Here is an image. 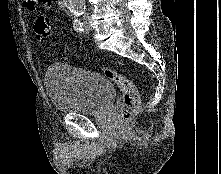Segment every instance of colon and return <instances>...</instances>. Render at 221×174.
<instances>
[{
	"label": "colon",
	"instance_id": "obj_1",
	"mask_svg": "<svg viewBox=\"0 0 221 174\" xmlns=\"http://www.w3.org/2000/svg\"><path fill=\"white\" fill-rule=\"evenodd\" d=\"M34 31L39 39H47L51 36V21L48 16L41 15L38 17ZM102 73L109 80L114 82L122 91L123 101L121 105V118L123 124H126L140 104V96L136 85L128 77L109 68H102Z\"/></svg>",
	"mask_w": 221,
	"mask_h": 174
}]
</instances>
